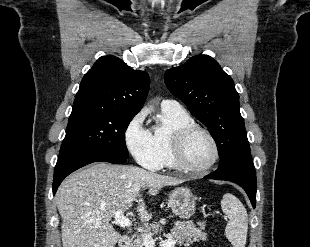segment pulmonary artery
<instances>
[{
    "mask_svg": "<svg viewBox=\"0 0 310 247\" xmlns=\"http://www.w3.org/2000/svg\"><path fill=\"white\" fill-rule=\"evenodd\" d=\"M161 108L172 110H184L183 107L177 101L172 99H164L161 102Z\"/></svg>",
    "mask_w": 310,
    "mask_h": 247,
    "instance_id": "1",
    "label": "pulmonary artery"
}]
</instances>
